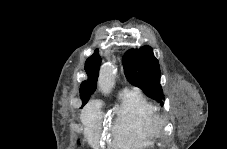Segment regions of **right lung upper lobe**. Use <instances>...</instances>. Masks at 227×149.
Masks as SVG:
<instances>
[{
	"instance_id": "cb5924a9",
	"label": "right lung upper lobe",
	"mask_w": 227,
	"mask_h": 149,
	"mask_svg": "<svg viewBox=\"0 0 227 149\" xmlns=\"http://www.w3.org/2000/svg\"><path fill=\"white\" fill-rule=\"evenodd\" d=\"M100 64L101 57L98 54V49H96L93 55H91L85 63V70L88 75V79L82 82L79 89L83 104L88 102L91 94H93L96 90Z\"/></svg>"
}]
</instances>
